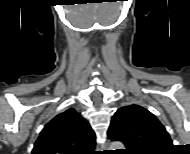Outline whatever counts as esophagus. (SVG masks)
Wrapping results in <instances>:
<instances>
[{
    "instance_id": "34e87169",
    "label": "esophagus",
    "mask_w": 190,
    "mask_h": 154,
    "mask_svg": "<svg viewBox=\"0 0 190 154\" xmlns=\"http://www.w3.org/2000/svg\"><path fill=\"white\" fill-rule=\"evenodd\" d=\"M97 150L98 151H102L100 146H97Z\"/></svg>"
}]
</instances>
